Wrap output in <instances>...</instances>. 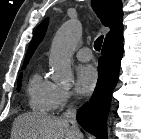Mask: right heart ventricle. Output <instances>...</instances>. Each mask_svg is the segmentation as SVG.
<instances>
[{
	"label": "right heart ventricle",
	"instance_id": "1",
	"mask_svg": "<svg viewBox=\"0 0 141 139\" xmlns=\"http://www.w3.org/2000/svg\"><path fill=\"white\" fill-rule=\"evenodd\" d=\"M56 85L45 79L39 72H34L27 84L29 107L38 113H48L53 110Z\"/></svg>",
	"mask_w": 141,
	"mask_h": 139
}]
</instances>
